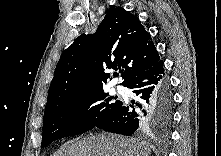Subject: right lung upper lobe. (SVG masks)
<instances>
[{
  "instance_id": "1",
  "label": "right lung upper lobe",
  "mask_w": 221,
  "mask_h": 156,
  "mask_svg": "<svg viewBox=\"0 0 221 156\" xmlns=\"http://www.w3.org/2000/svg\"><path fill=\"white\" fill-rule=\"evenodd\" d=\"M151 35L139 18L121 7L109 11L94 34L80 35L61 55L46 107L76 91L103 89L104 69H121L126 85L159 62Z\"/></svg>"
}]
</instances>
